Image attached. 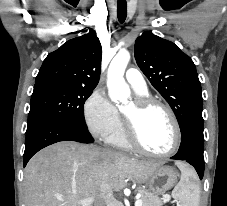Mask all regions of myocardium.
Segmentation results:
<instances>
[{
	"label": "myocardium",
	"instance_id": "f54148a6",
	"mask_svg": "<svg viewBox=\"0 0 227 206\" xmlns=\"http://www.w3.org/2000/svg\"><path fill=\"white\" fill-rule=\"evenodd\" d=\"M133 102L136 109L135 116L129 117L123 113V130L128 143L137 151L153 157H168L174 154L181 144L182 133L179 121L172 108L163 101L152 97L140 96L135 98ZM152 107H159L163 109L168 114L174 128V143L168 151L163 153L148 150L142 144L138 136L137 119L141 114Z\"/></svg>",
	"mask_w": 227,
	"mask_h": 206
}]
</instances>
